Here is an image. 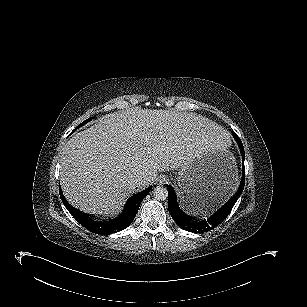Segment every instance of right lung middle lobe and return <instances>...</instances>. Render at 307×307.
<instances>
[{
	"instance_id": "right-lung-middle-lobe-1",
	"label": "right lung middle lobe",
	"mask_w": 307,
	"mask_h": 307,
	"mask_svg": "<svg viewBox=\"0 0 307 307\" xmlns=\"http://www.w3.org/2000/svg\"><path fill=\"white\" fill-rule=\"evenodd\" d=\"M91 119H92V118H89V119L85 120V121L82 122L78 127H81L82 125L86 124V123H87L88 121H90ZM76 129H77V128H76ZM76 129H75V130H76ZM75 130H74V131H75Z\"/></svg>"
}]
</instances>
